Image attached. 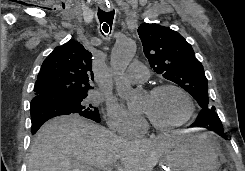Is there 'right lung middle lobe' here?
Segmentation results:
<instances>
[{
	"instance_id": "1",
	"label": "right lung middle lobe",
	"mask_w": 245,
	"mask_h": 171,
	"mask_svg": "<svg viewBox=\"0 0 245 171\" xmlns=\"http://www.w3.org/2000/svg\"><path fill=\"white\" fill-rule=\"evenodd\" d=\"M87 94L70 96V95H54L49 100L59 102L67 107L72 113H78L97 123L100 122L98 108L92 106L86 101Z\"/></svg>"
}]
</instances>
